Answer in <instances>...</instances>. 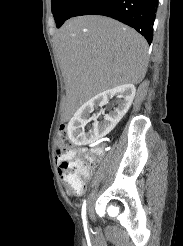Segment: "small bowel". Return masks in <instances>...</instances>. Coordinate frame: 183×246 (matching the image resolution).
<instances>
[{
  "label": "small bowel",
  "mask_w": 183,
  "mask_h": 246,
  "mask_svg": "<svg viewBox=\"0 0 183 246\" xmlns=\"http://www.w3.org/2000/svg\"><path fill=\"white\" fill-rule=\"evenodd\" d=\"M75 154H76V152L74 150H70L64 156L59 157L58 161L61 162L63 160H72L74 158ZM60 175H61L63 181L68 185V188H69V180H68L67 174L64 171L60 170ZM82 190H83V188L81 190H79L78 192H73V193L70 192V193H72L74 195H79L82 193Z\"/></svg>",
  "instance_id": "1"
}]
</instances>
